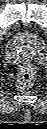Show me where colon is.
Instances as JSON below:
<instances>
[{"instance_id":"obj_1","label":"colon","mask_w":47,"mask_h":129,"mask_svg":"<svg viewBox=\"0 0 47 129\" xmlns=\"http://www.w3.org/2000/svg\"><path fill=\"white\" fill-rule=\"evenodd\" d=\"M35 75L36 71L32 65L23 64L18 73L17 86L23 90L29 88L35 79Z\"/></svg>"}]
</instances>
